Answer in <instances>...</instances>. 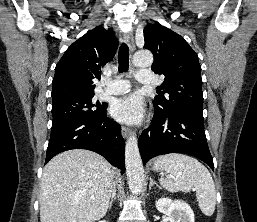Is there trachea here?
I'll return each mask as SVG.
<instances>
[{
	"label": "trachea",
	"instance_id": "3493384b",
	"mask_svg": "<svg viewBox=\"0 0 257 222\" xmlns=\"http://www.w3.org/2000/svg\"><path fill=\"white\" fill-rule=\"evenodd\" d=\"M118 70L120 73L128 72L129 70V49L125 43H122L118 52Z\"/></svg>",
	"mask_w": 257,
	"mask_h": 222
}]
</instances>
